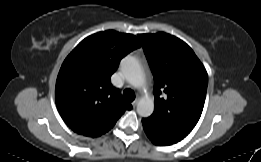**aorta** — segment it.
<instances>
[{"instance_id":"aorta-1","label":"aorta","mask_w":261,"mask_h":162,"mask_svg":"<svg viewBox=\"0 0 261 162\" xmlns=\"http://www.w3.org/2000/svg\"><path fill=\"white\" fill-rule=\"evenodd\" d=\"M120 69L125 79L134 87H141L144 75L138 60L127 56L120 62ZM154 111V102L151 98H141L137 104V113L142 117L150 116Z\"/></svg>"}]
</instances>
